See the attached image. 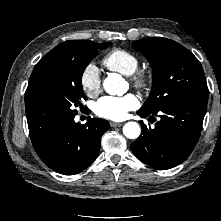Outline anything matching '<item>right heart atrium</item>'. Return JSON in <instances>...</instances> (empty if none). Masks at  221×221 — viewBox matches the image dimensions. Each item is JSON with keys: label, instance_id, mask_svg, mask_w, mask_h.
<instances>
[{"label": "right heart atrium", "instance_id": "obj_1", "mask_svg": "<svg viewBox=\"0 0 221 221\" xmlns=\"http://www.w3.org/2000/svg\"><path fill=\"white\" fill-rule=\"evenodd\" d=\"M80 86L88 97H95L101 91L100 70L94 63H89L81 72Z\"/></svg>", "mask_w": 221, "mask_h": 221}]
</instances>
